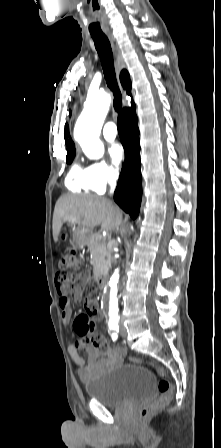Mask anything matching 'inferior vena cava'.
I'll return each instance as SVG.
<instances>
[{"label":"inferior vena cava","mask_w":221,"mask_h":448,"mask_svg":"<svg viewBox=\"0 0 221 448\" xmlns=\"http://www.w3.org/2000/svg\"><path fill=\"white\" fill-rule=\"evenodd\" d=\"M117 178H118L117 173L112 172V173L110 174L109 181H110V183H111V185H112V189H114V187H115V185H116V180H117ZM111 193H112V192H111Z\"/></svg>","instance_id":"inferior-vena-cava-1"}]
</instances>
